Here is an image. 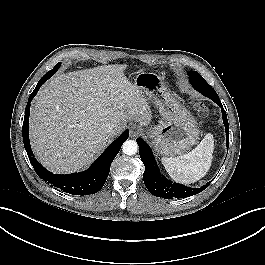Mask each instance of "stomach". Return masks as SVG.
<instances>
[{
	"instance_id": "stomach-1",
	"label": "stomach",
	"mask_w": 265,
	"mask_h": 265,
	"mask_svg": "<svg viewBox=\"0 0 265 265\" xmlns=\"http://www.w3.org/2000/svg\"><path fill=\"white\" fill-rule=\"evenodd\" d=\"M135 87L159 110L162 120L147 131L156 152L165 156L181 154L196 144L197 121L187 108L172 96L161 77L141 71L134 79Z\"/></svg>"
}]
</instances>
